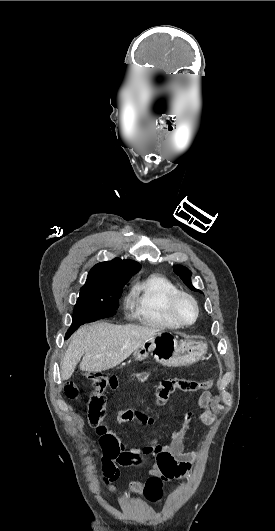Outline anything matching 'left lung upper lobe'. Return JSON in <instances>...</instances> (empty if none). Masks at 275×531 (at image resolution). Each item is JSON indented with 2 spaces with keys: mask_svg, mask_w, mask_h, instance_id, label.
Returning a JSON list of instances; mask_svg holds the SVG:
<instances>
[{
  "mask_svg": "<svg viewBox=\"0 0 275 531\" xmlns=\"http://www.w3.org/2000/svg\"><path fill=\"white\" fill-rule=\"evenodd\" d=\"M174 272L180 276V278L183 280V282L192 290L199 291L196 289L192 283H191V271H189L186 267L181 265L173 266ZM202 293V292H201Z\"/></svg>",
  "mask_w": 275,
  "mask_h": 531,
  "instance_id": "obj_1",
  "label": "left lung upper lobe"
}]
</instances>
